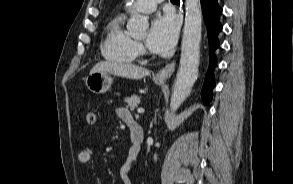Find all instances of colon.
<instances>
[{
	"mask_svg": "<svg viewBox=\"0 0 293 184\" xmlns=\"http://www.w3.org/2000/svg\"><path fill=\"white\" fill-rule=\"evenodd\" d=\"M86 121L90 125H92L96 122V113L92 109H89L86 112Z\"/></svg>",
	"mask_w": 293,
	"mask_h": 184,
	"instance_id": "5ec220e1",
	"label": "colon"
}]
</instances>
